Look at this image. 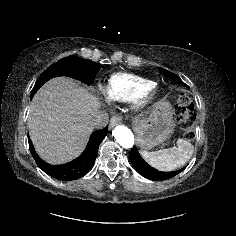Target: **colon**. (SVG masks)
I'll use <instances>...</instances> for the list:
<instances>
[{
  "label": "colon",
  "instance_id": "5ec220e1",
  "mask_svg": "<svg viewBox=\"0 0 236 236\" xmlns=\"http://www.w3.org/2000/svg\"><path fill=\"white\" fill-rule=\"evenodd\" d=\"M175 112L178 124L188 139L194 137L195 114L192 111V101L186 94H181L177 100Z\"/></svg>",
  "mask_w": 236,
  "mask_h": 236
}]
</instances>
